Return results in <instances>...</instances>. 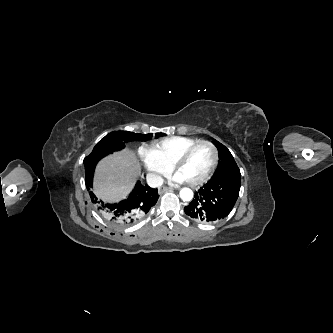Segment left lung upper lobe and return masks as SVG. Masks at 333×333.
I'll list each match as a JSON object with an SVG mask.
<instances>
[{"label": "left lung upper lobe", "mask_w": 333, "mask_h": 333, "mask_svg": "<svg viewBox=\"0 0 333 333\" xmlns=\"http://www.w3.org/2000/svg\"><path fill=\"white\" fill-rule=\"evenodd\" d=\"M213 144L218 149L219 160H220L215 174L221 173V172H223L227 169L238 167L234 158H233V156H232V154L230 153V151L223 144H221L217 140H214Z\"/></svg>", "instance_id": "left-lung-upper-lobe-1"}]
</instances>
